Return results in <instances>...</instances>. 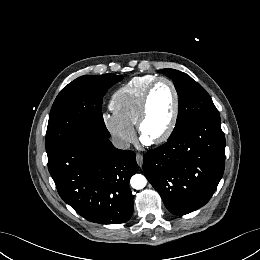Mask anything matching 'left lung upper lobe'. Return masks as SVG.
<instances>
[{
  "instance_id": "1",
  "label": "left lung upper lobe",
  "mask_w": 260,
  "mask_h": 260,
  "mask_svg": "<svg viewBox=\"0 0 260 260\" xmlns=\"http://www.w3.org/2000/svg\"><path fill=\"white\" fill-rule=\"evenodd\" d=\"M159 72L174 81L179 95V113L170 138L178 135L182 129L198 119L219 116L209 94L189 75L174 69H162Z\"/></svg>"
}]
</instances>
